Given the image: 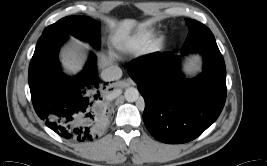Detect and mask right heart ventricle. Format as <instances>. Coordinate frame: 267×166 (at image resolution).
I'll use <instances>...</instances> for the list:
<instances>
[{
    "instance_id": "right-heart-ventricle-1",
    "label": "right heart ventricle",
    "mask_w": 267,
    "mask_h": 166,
    "mask_svg": "<svg viewBox=\"0 0 267 166\" xmlns=\"http://www.w3.org/2000/svg\"><path fill=\"white\" fill-rule=\"evenodd\" d=\"M153 27H141L132 36L116 42L119 49L137 51L144 47L154 34Z\"/></svg>"
}]
</instances>
